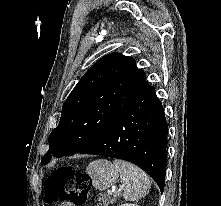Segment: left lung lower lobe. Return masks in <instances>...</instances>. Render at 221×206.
Masks as SVG:
<instances>
[{
	"label": "left lung lower lobe",
	"instance_id": "0a47b994",
	"mask_svg": "<svg viewBox=\"0 0 221 206\" xmlns=\"http://www.w3.org/2000/svg\"><path fill=\"white\" fill-rule=\"evenodd\" d=\"M168 126L154 88L137 97L88 146L78 153L134 163L164 190Z\"/></svg>",
	"mask_w": 221,
	"mask_h": 206
}]
</instances>
